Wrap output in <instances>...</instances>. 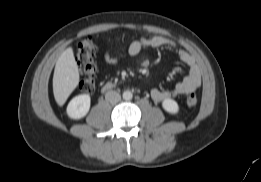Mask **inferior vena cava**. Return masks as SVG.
Listing matches in <instances>:
<instances>
[{
	"instance_id": "obj_1",
	"label": "inferior vena cava",
	"mask_w": 261,
	"mask_h": 182,
	"mask_svg": "<svg viewBox=\"0 0 261 182\" xmlns=\"http://www.w3.org/2000/svg\"><path fill=\"white\" fill-rule=\"evenodd\" d=\"M105 99L107 102H110L111 104H116L121 100V96L117 91H108L105 94Z\"/></svg>"
}]
</instances>
